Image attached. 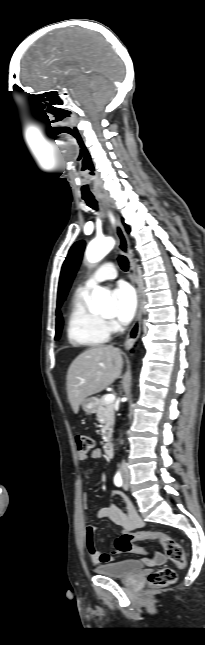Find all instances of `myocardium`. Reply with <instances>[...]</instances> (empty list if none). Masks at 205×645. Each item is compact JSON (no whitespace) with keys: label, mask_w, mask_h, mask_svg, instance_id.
I'll return each mask as SVG.
<instances>
[{"label":"myocardium","mask_w":205,"mask_h":645,"mask_svg":"<svg viewBox=\"0 0 205 645\" xmlns=\"http://www.w3.org/2000/svg\"><path fill=\"white\" fill-rule=\"evenodd\" d=\"M103 318H104V320H105V319H108V317H106V316H104Z\"/></svg>","instance_id":"1"}]
</instances>
